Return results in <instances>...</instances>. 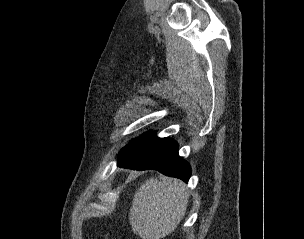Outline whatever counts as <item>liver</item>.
<instances>
[{"label":"liver","instance_id":"6515ba94","mask_svg":"<svg viewBox=\"0 0 304 239\" xmlns=\"http://www.w3.org/2000/svg\"><path fill=\"white\" fill-rule=\"evenodd\" d=\"M188 203L185 184L175 178H150L136 191L130 209L132 231L143 239H160L175 231Z\"/></svg>","mask_w":304,"mask_h":239}]
</instances>
